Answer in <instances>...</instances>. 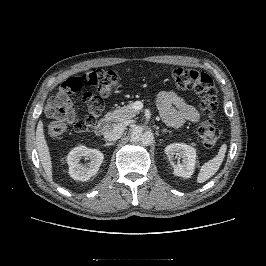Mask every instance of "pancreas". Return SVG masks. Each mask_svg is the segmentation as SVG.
I'll list each match as a JSON object with an SVG mask.
<instances>
[{
    "mask_svg": "<svg viewBox=\"0 0 266 266\" xmlns=\"http://www.w3.org/2000/svg\"><path fill=\"white\" fill-rule=\"evenodd\" d=\"M138 114V111L133 108V102H129L126 106L115 109L112 112H109L105 119L113 122H124ZM193 145H195L193 143Z\"/></svg>",
    "mask_w": 266,
    "mask_h": 266,
    "instance_id": "cf45deb5",
    "label": "pancreas"
}]
</instances>
